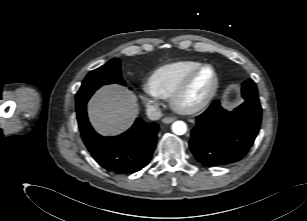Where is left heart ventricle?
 Listing matches in <instances>:
<instances>
[{
    "label": "left heart ventricle",
    "instance_id": "b2bd125f",
    "mask_svg": "<svg viewBox=\"0 0 307 221\" xmlns=\"http://www.w3.org/2000/svg\"><path fill=\"white\" fill-rule=\"evenodd\" d=\"M214 82V75L211 69H205L197 77L189 92L184 98L185 105H191L203 99L211 90Z\"/></svg>",
    "mask_w": 307,
    "mask_h": 221
}]
</instances>
